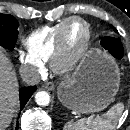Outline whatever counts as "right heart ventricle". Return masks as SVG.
I'll return each instance as SVG.
<instances>
[{
  "mask_svg": "<svg viewBox=\"0 0 130 130\" xmlns=\"http://www.w3.org/2000/svg\"><path fill=\"white\" fill-rule=\"evenodd\" d=\"M69 19L62 20L54 25L41 27L27 35L23 39L27 52L41 62L49 60L56 47L58 35Z\"/></svg>",
  "mask_w": 130,
  "mask_h": 130,
  "instance_id": "right-heart-ventricle-1",
  "label": "right heart ventricle"
}]
</instances>
